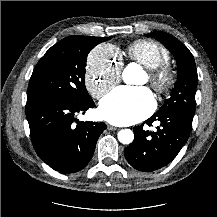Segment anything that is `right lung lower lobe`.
<instances>
[{"label": "right lung lower lobe", "instance_id": "right-lung-lower-lobe-1", "mask_svg": "<svg viewBox=\"0 0 217 217\" xmlns=\"http://www.w3.org/2000/svg\"><path fill=\"white\" fill-rule=\"evenodd\" d=\"M93 107L92 98L84 103L39 100L26 104L34 149L52 169L74 173L91 160L106 124L79 122L76 115Z\"/></svg>", "mask_w": 217, "mask_h": 217}]
</instances>
